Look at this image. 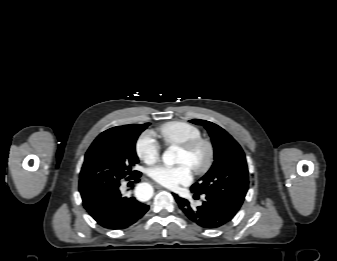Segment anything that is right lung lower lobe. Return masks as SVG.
<instances>
[{
    "instance_id": "98d812e1",
    "label": "right lung lower lobe",
    "mask_w": 337,
    "mask_h": 261,
    "mask_svg": "<svg viewBox=\"0 0 337 261\" xmlns=\"http://www.w3.org/2000/svg\"><path fill=\"white\" fill-rule=\"evenodd\" d=\"M141 173L130 178L139 181ZM119 185L101 191L83 201V206L102 227L110 230L125 229L136 223L149 209L134 197H123Z\"/></svg>"
}]
</instances>
